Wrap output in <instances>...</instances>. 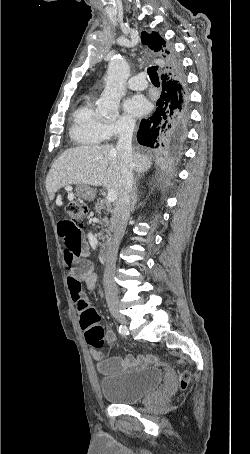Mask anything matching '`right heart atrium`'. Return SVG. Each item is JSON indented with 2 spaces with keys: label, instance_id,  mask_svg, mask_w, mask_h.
Here are the masks:
<instances>
[{
  "label": "right heart atrium",
  "instance_id": "d8ad5b80",
  "mask_svg": "<svg viewBox=\"0 0 250 454\" xmlns=\"http://www.w3.org/2000/svg\"><path fill=\"white\" fill-rule=\"evenodd\" d=\"M109 137H119L130 132L134 128L133 120L121 117L118 120L106 124Z\"/></svg>",
  "mask_w": 250,
  "mask_h": 454
}]
</instances>
